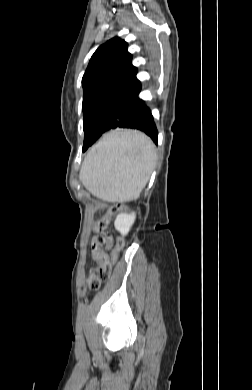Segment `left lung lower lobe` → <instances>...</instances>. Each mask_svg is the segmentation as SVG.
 <instances>
[{
	"mask_svg": "<svg viewBox=\"0 0 252 390\" xmlns=\"http://www.w3.org/2000/svg\"><path fill=\"white\" fill-rule=\"evenodd\" d=\"M140 91L124 104L116 115L106 114L91 120L85 127L83 152L103 133L116 128H131L145 132L157 144L158 131L150 108L139 98Z\"/></svg>",
	"mask_w": 252,
	"mask_h": 390,
	"instance_id": "1",
	"label": "left lung lower lobe"
}]
</instances>
